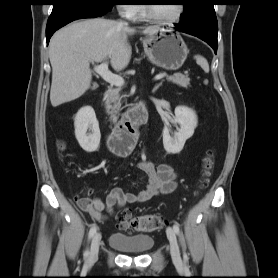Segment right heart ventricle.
Returning <instances> with one entry per match:
<instances>
[{"mask_svg": "<svg viewBox=\"0 0 278 278\" xmlns=\"http://www.w3.org/2000/svg\"><path fill=\"white\" fill-rule=\"evenodd\" d=\"M134 18L138 19V20H144L146 18L145 11L142 6L138 7V11H137L136 15L134 16Z\"/></svg>", "mask_w": 278, "mask_h": 278, "instance_id": "right-heart-ventricle-1", "label": "right heart ventricle"}]
</instances>
